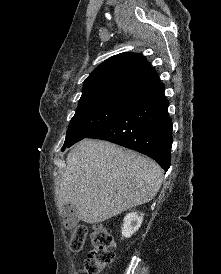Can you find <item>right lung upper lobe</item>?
<instances>
[{"mask_svg": "<svg viewBox=\"0 0 221 274\" xmlns=\"http://www.w3.org/2000/svg\"><path fill=\"white\" fill-rule=\"evenodd\" d=\"M160 83L138 53H121L100 64L84 81L80 98L119 97L134 100Z\"/></svg>", "mask_w": 221, "mask_h": 274, "instance_id": "cb5924a9", "label": "right lung upper lobe"}]
</instances>
